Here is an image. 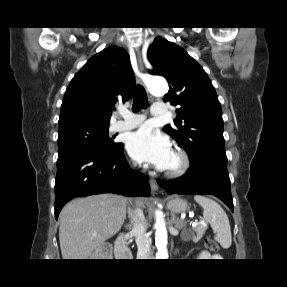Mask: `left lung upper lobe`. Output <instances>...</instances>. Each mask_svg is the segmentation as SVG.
Segmentation results:
<instances>
[{"instance_id":"left-lung-upper-lobe-1","label":"left lung upper lobe","mask_w":287,"mask_h":287,"mask_svg":"<svg viewBox=\"0 0 287 287\" xmlns=\"http://www.w3.org/2000/svg\"><path fill=\"white\" fill-rule=\"evenodd\" d=\"M147 57L154 66L151 73L169 83L163 100L179 107L174 125L163 131L185 149L190 169H227L221 105L206 72L183 48L162 37L154 39Z\"/></svg>"}]
</instances>
